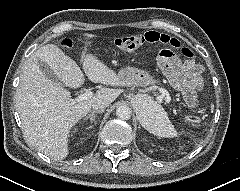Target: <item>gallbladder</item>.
<instances>
[{"label": "gallbladder", "mask_w": 240, "mask_h": 191, "mask_svg": "<svg viewBox=\"0 0 240 191\" xmlns=\"http://www.w3.org/2000/svg\"><path fill=\"white\" fill-rule=\"evenodd\" d=\"M38 65L41 69V71L45 74V76L53 81H58L56 75L54 74V72L52 71V69L45 63L42 61L38 62Z\"/></svg>", "instance_id": "1"}]
</instances>
